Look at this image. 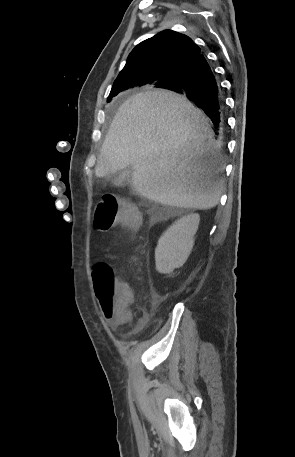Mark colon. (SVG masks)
<instances>
[{
    "mask_svg": "<svg viewBox=\"0 0 295 457\" xmlns=\"http://www.w3.org/2000/svg\"><path fill=\"white\" fill-rule=\"evenodd\" d=\"M119 222L137 226L140 222L138 211L132 205L119 201L114 195H104L95 209L93 219L95 228L98 231L107 232ZM92 277L104 316L126 319L127 309L134 298L131 285L118 280L111 267L104 262L93 265Z\"/></svg>",
    "mask_w": 295,
    "mask_h": 457,
    "instance_id": "obj_1",
    "label": "colon"
}]
</instances>
